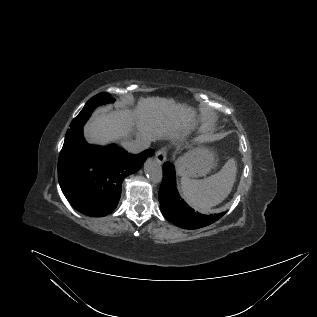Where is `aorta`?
<instances>
[{"label":"aorta","mask_w":317,"mask_h":317,"mask_svg":"<svg viewBox=\"0 0 317 317\" xmlns=\"http://www.w3.org/2000/svg\"><path fill=\"white\" fill-rule=\"evenodd\" d=\"M144 172L153 183H160L163 177L161 162L154 158H148L144 163Z\"/></svg>","instance_id":"obj_1"}]
</instances>
